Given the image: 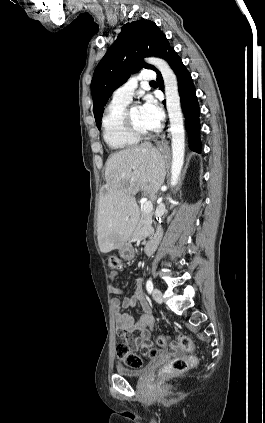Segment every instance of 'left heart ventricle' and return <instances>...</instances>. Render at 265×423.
<instances>
[{"mask_svg": "<svg viewBox=\"0 0 265 423\" xmlns=\"http://www.w3.org/2000/svg\"><path fill=\"white\" fill-rule=\"evenodd\" d=\"M131 119L135 126L142 131H150L153 128L149 125V123L145 120V118L142 115L141 108L140 107H134L132 108L130 112Z\"/></svg>", "mask_w": 265, "mask_h": 423, "instance_id": "obj_1", "label": "left heart ventricle"}]
</instances>
